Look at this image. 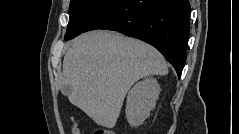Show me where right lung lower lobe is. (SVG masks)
Instances as JSON below:
<instances>
[{"instance_id":"1","label":"right lung lower lobe","mask_w":239,"mask_h":134,"mask_svg":"<svg viewBox=\"0 0 239 134\" xmlns=\"http://www.w3.org/2000/svg\"><path fill=\"white\" fill-rule=\"evenodd\" d=\"M188 0H117L102 11L83 32L118 31L157 48L180 78L189 37Z\"/></svg>"}]
</instances>
